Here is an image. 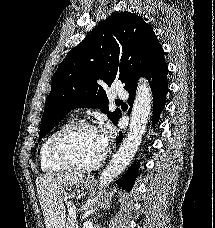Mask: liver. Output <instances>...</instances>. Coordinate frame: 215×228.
I'll return each mask as SVG.
<instances>
[{
	"label": "liver",
	"instance_id": "6515ba94",
	"mask_svg": "<svg viewBox=\"0 0 215 228\" xmlns=\"http://www.w3.org/2000/svg\"><path fill=\"white\" fill-rule=\"evenodd\" d=\"M83 178L82 174H41L36 178V192L46 228H65L63 200L66 186H74Z\"/></svg>",
	"mask_w": 215,
	"mask_h": 228
}]
</instances>
